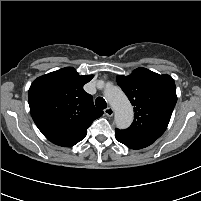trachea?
Wrapping results in <instances>:
<instances>
[{
  "label": "trachea",
  "instance_id": "trachea-1",
  "mask_svg": "<svg viewBox=\"0 0 201 201\" xmlns=\"http://www.w3.org/2000/svg\"><path fill=\"white\" fill-rule=\"evenodd\" d=\"M95 105L99 109H105L107 107V103H106L105 99L102 98V97H97L96 98Z\"/></svg>",
  "mask_w": 201,
  "mask_h": 201
}]
</instances>
